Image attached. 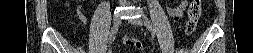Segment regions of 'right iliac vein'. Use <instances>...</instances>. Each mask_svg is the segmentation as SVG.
Returning <instances> with one entry per match:
<instances>
[{"instance_id": "obj_1", "label": "right iliac vein", "mask_w": 253, "mask_h": 53, "mask_svg": "<svg viewBox=\"0 0 253 53\" xmlns=\"http://www.w3.org/2000/svg\"><path fill=\"white\" fill-rule=\"evenodd\" d=\"M119 25H120V19L119 17H116L113 21V27H112L115 32L117 31Z\"/></svg>"}]
</instances>
